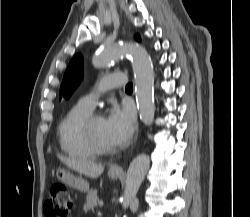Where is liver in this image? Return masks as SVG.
Instances as JSON below:
<instances>
[{
    "label": "liver",
    "instance_id": "1",
    "mask_svg": "<svg viewBox=\"0 0 250 217\" xmlns=\"http://www.w3.org/2000/svg\"><path fill=\"white\" fill-rule=\"evenodd\" d=\"M57 157L69 168L90 178H98L104 171L103 166L89 160L67 158L61 155H57Z\"/></svg>",
    "mask_w": 250,
    "mask_h": 217
}]
</instances>
